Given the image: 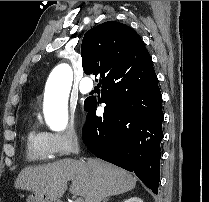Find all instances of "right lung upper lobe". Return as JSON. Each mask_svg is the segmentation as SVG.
Listing matches in <instances>:
<instances>
[{
	"label": "right lung upper lobe",
	"mask_w": 209,
	"mask_h": 202,
	"mask_svg": "<svg viewBox=\"0 0 209 202\" xmlns=\"http://www.w3.org/2000/svg\"><path fill=\"white\" fill-rule=\"evenodd\" d=\"M86 74L100 75L102 86L120 87L147 74L151 56L140 36L128 25L108 21L88 30L81 45Z\"/></svg>",
	"instance_id": "obj_1"
}]
</instances>
